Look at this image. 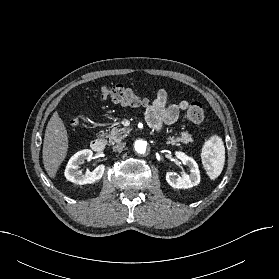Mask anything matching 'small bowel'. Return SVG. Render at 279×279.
Here are the masks:
<instances>
[{
	"mask_svg": "<svg viewBox=\"0 0 279 279\" xmlns=\"http://www.w3.org/2000/svg\"><path fill=\"white\" fill-rule=\"evenodd\" d=\"M189 102L180 100L168 104V93L165 89H159L156 98L146 109V119L155 130L162 129L164 124L174 123L182 111L187 110Z\"/></svg>",
	"mask_w": 279,
	"mask_h": 279,
	"instance_id": "c3829d8e",
	"label": "small bowel"
}]
</instances>
